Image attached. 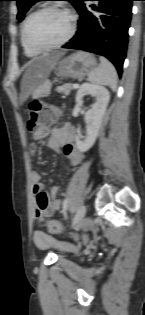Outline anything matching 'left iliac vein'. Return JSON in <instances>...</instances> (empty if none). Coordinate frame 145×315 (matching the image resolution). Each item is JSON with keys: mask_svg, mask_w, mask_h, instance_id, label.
I'll use <instances>...</instances> for the list:
<instances>
[{"mask_svg": "<svg viewBox=\"0 0 145 315\" xmlns=\"http://www.w3.org/2000/svg\"><path fill=\"white\" fill-rule=\"evenodd\" d=\"M85 215H86V206L85 205H81L79 207V209L77 210V212H76V214H75V216H74V218L72 220L71 227L72 228H77L81 224V222L84 219Z\"/></svg>", "mask_w": 145, "mask_h": 315, "instance_id": "4c4485c4", "label": "left iliac vein"}]
</instances>
